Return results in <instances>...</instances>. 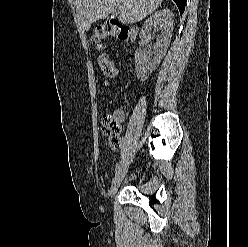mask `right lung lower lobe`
<instances>
[{"instance_id": "98d812e1", "label": "right lung lower lobe", "mask_w": 248, "mask_h": 247, "mask_svg": "<svg viewBox=\"0 0 248 247\" xmlns=\"http://www.w3.org/2000/svg\"><path fill=\"white\" fill-rule=\"evenodd\" d=\"M174 1L178 6L180 14L182 15V13L184 12V9H185L186 0H174Z\"/></svg>"}]
</instances>
